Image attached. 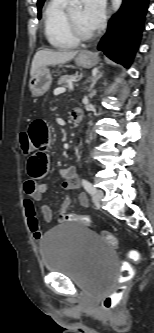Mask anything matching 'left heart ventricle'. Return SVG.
<instances>
[{
  "instance_id": "1",
  "label": "left heart ventricle",
  "mask_w": 154,
  "mask_h": 333,
  "mask_svg": "<svg viewBox=\"0 0 154 333\" xmlns=\"http://www.w3.org/2000/svg\"><path fill=\"white\" fill-rule=\"evenodd\" d=\"M82 8L81 6L73 7L69 10V14L76 24L85 32H92L93 30L89 29L82 21L81 17Z\"/></svg>"
}]
</instances>
